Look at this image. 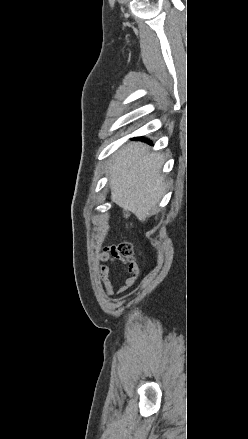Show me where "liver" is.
Wrapping results in <instances>:
<instances>
[{
    "instance_id": "obj_1",
    "label": "liver",
    "mask_w": 248,
    "mask_h": 439,
    "mask_svg": "<svg viewBox=\"0 0 248 439\" xmlns=\"http://www.w3.org/2000/svg\"><path fill=\"white\" fill-rule=\"evenodd\" d=\"M163 163L162 155L150 152L141 142L123 146L112 157L108 171L113 201L142 221L153 215L166 189Z\"/></svg>"
}]
</instances>
